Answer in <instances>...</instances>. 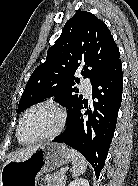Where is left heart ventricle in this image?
<instances>
[{
  "mask_svg": "<svg viewBox=\"0 0 138 186\" xmlns=\"http://www.w3.org/2000/svg\"><path fill=\"white\" fill-rule=\"evenodd\" d=\"M60 122L58 112L51 108H39L30 112L24 119L20 135L28 141L54 131Z\"/></svg>",
  "mask_w": 138,
  "mask_h": 186,
  "instance_id": "obj_1",
  "label": "left heart ventricle"
}]
</instances>
